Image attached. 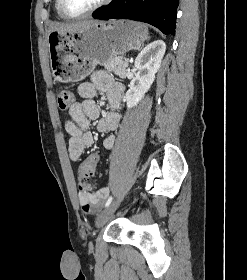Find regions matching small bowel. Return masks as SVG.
<instances>
[{
	"mask_svg": "<svg viewBox=\"0 0 247 280\" xmlns=\"http://www.w3.org/2000/svg\"><path fill=\"white\" fill-rule=\"evenodd\" d=\"M78 94L82 101L74 102L69 109L70 119L65 124V130L70 136L68 153L72 161H78L85 148L93 145V135L88 130L90 122L97 120V130L101 133L115 131L120 123V107L123 95V86L114 81L113 77L105 71H97L91 81L83 82L78 86ZM97 93H105L110 110L102 117L100 107L94 98ZM115 135L107 134L103 139V148L110 150L114 147ZM108 188L102 187L98 191L79 192V202L87 214L94 213L108 195Z\"/></svg>",
	"mask_w": 247,
	"mask_h": 280,
	"instance_id": "c3829d8e",
	"label": "small bowel"
}]
</instances>
